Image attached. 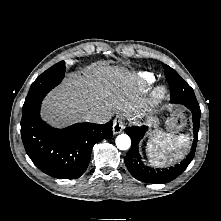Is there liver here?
<instances>
[{
	"mask_svg": "<svg viewBox=\"0 0 221 221\" xmlns=\"http://www.w3.org/2000/svg\"><path fill=\"white\" fill-rule=\"evenodd\" d=\"M136 93V81L127 70L95 63L53 90L43 101L42 116L58 127L89 120L90 113L98 115L91 120L105 123L114 111L135 110Z\"/></svg>",
	"mask_w": 221,
	"mask_h": 221,
	"instance_id": "1",
	"label": "liver"
}]
</instances>
